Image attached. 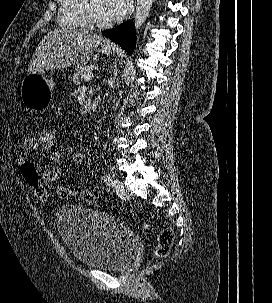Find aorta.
Instances as JSON below:
<instances>
[{
	"mask_svg": "<svg viewBox=\"0 0 272 303\" xmlns=\"http://www.w3.org/2000/svg\"><path fill=\"white\" fill-rule=\"evenodd\" d=\"M154 0H137L134 23L136 30H140L145 23Z\"/></svg>",
	"mask_w": 272,
	"mask_h": 303,
	"instance_id": "1",
	"label": "aorta"
}]
</instances>
